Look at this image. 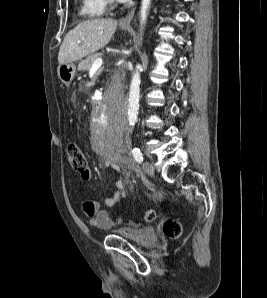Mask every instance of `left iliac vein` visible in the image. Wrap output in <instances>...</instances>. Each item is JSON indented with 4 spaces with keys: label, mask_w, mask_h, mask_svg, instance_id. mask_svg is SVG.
<instances>
[{
    "label": "left iliac vein",
    "mask_w": 267,
    "mask_h": 298,
    "mask_svg": "<svg viewBox=\"0 0 267 298\" xmlns=\"http://www.w3.org/2000/svg\"><path fill=\"white\" fill-rule=\"evenodd\" d=\"M142 168H143V170L146 174H148V175H153L154 174L153 165L149 161L143 162Z\"/></svg>",
    "instance_id": "obj_1"
}]
</instances>
